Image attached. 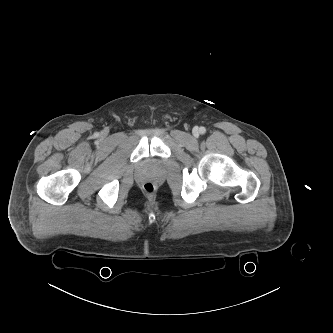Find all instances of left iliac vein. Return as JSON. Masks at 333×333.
Here are the masks:
<instances>
[{
  "mask_svg": "<svg viewBox=\"0 0 333 333\" xmlns=\"http://www.w3.org/2000/svg\"><path fill=\"white\" fill-rule=\"evenodd\" d=\"M193 134H194V136H198L199 135V130L198 129H194L193 130Z\"/></svg>",
  "mask_w": 333,
  "mask_h": 333,
  "instance_id": "1",
  "label": "left iliac vein"
}]
</instances>
